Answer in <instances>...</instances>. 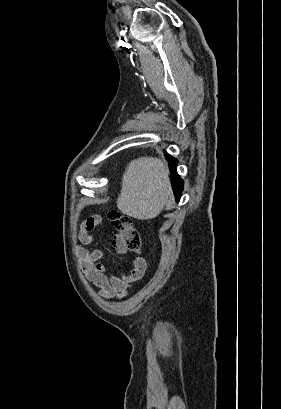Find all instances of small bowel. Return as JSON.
I'll return each mask as SVG.
<instances>
[{"instance_id":"1","label":"small bowel","mask_w":281,"mask_h":409,"mask_svg":"<svg viewBox=\"0 0 281 409\" xmlns=\"http://www.w3.org/2000/svg\"><path fill=\"white\" fill-rule=\"evenodd\" d=\"M86 220L87 222L80 223V241L84 245L93 242L92 235H101V227L103 226L101 215H88ZM112 243L114 252L124 251L121 238H114ZM76 254L81 268L86 271L88 279L99 287V296L103 299L124 297L132 282H139L147 268L146 261L138 257L133 261V270L130 274H125L122 277L107 275L100 262L104 256L100 249L88 250L83 246H77Z\"/></svg>"}]
</instances>
